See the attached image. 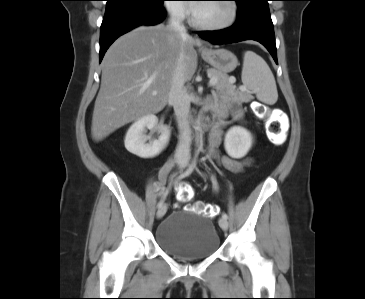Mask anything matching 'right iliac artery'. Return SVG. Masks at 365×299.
<instances>
[{
  "label": "right iliac artery",
  "mask_w": 365,
  "mask_h": 299,
  "mask_svg": "<svg viewBox=\"0 0 365 299\" xmlns=\"http://www.w3.org/2000/svg\"><path fill=\"white\" fill-rule=\"evenodd\" d=\"M195 165H196V159L194 158V160L191 162V164L189 165V167L186 169V171H184L183 173H181L178 177H177V180H180V179H183L187 176H189L194 168H195ZM163 200H160L159 203H158V207H161L163 205Z\"/></svg>",
  "instance_id": "1"
}]
</instances>
